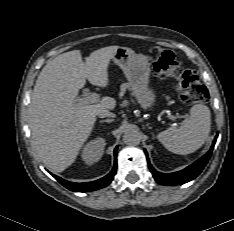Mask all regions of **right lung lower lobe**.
<instances>
[{"mask_svg": "<svg viewBox=\"0 0 234 231\" xmlns=\"http://www.w3.org/2000/svg\"><path fill=\"white\" fill-rule=\"evenodd\" d=\"M114 155L116 156V149L114 151ZM116 169H117V162L115 160L114 162V167L112 169V171L106 175L105 177L96 180V181H92V182H87V183H74V182H69L66 181L54 174H52V176L58 181L60 182L63 186H65L66 188H68L71 191L74 192H88V191H93V190H97V189H101L105 186H107L108 184L111 183V181L114 178V175L116 173Z\"/></svg>", "mask_w": 234, "mask_h": 231, "instance_id": "1", "label": "right lung lower lobe"}]
</instances>
